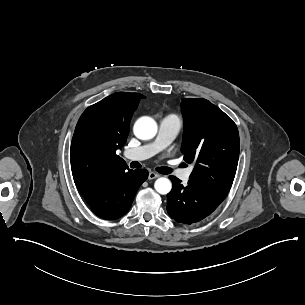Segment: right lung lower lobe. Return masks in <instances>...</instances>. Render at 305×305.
<instances>
[{"label": "right lung lower lobe", "instance_id": "98d812e1", "mask_svg": "<svg viewBox=\"0 0 305 305\" xmlns=\"http://www.w3.org/2000/svg\"><path fill=\"white\" fill-rule=\"evenodd\" d=\"M147 178L145 169H128L113 175L83 197L98 217L117 219L128 212L138 188Z\"/></svg>", "mask_w": 305, "mask_h": 305}]
</instances>
